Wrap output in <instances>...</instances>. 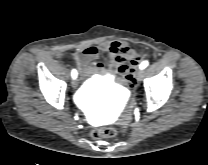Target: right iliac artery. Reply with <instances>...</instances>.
Segmentation results:
<instances>
[{"label":"right iliac artery","mask_w":208,"mask_h":165,"mask_svg":"<svg viewBox=\"0 0 208 165\" xmlns=\"http://www.w3.org/2000/svg\"><path fill=\"white\" fill-rule=\"evenodd\" d=\"M77 74H78L77 71L75 69H73L71 72L72 78L75 79L77 77Z\"/></svg>","instance_id":"right-iliac-artery-1"}]
</instances>
